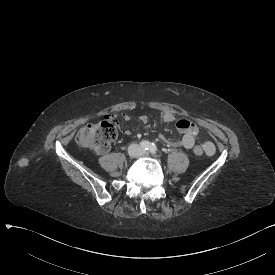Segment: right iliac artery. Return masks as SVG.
I'll return each mask as SVG.
<instances>
[{
	"label": "right iliac artery",
	"mask_w": 275,
	"mask_h": 275,
	"mask_svg": "<svg viewBox=\"0 0 275 275\" xmlns=\"http://www.w3.org/2000/svg\"><path fill=\"white\" fill-rule=\"evenodd\" d=\"M150 144H151L150 142L143 140L140 142V147L144 150H148L150 147Z\"/></svg>",
	"instance_id": "82829eb1"
}]
</instances>
